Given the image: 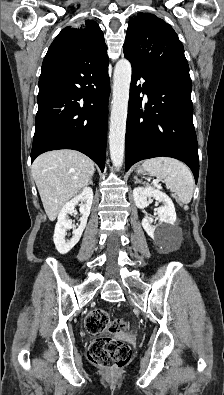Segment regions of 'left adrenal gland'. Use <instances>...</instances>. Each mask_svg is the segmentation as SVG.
I'll return each instance as SVG.
<instances>
[{"instance_id": "a2214340", "label": "left adrenal gland", "mask_w": 224, "mask_h": 395, "mask_svg": "<svg viewBox=\"0 0 224 395\" xmlns=\"http://www.w3.org/2000/svg\"><path fill=\"white\" fill-rule=\"evenodd\" d=\"M134 179H135V183H142V181L137 176H134Z\"/></svg>"}]
</instances>
